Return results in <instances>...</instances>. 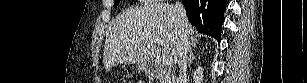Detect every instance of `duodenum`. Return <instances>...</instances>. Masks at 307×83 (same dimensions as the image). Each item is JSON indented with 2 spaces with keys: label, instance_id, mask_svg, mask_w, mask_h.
I'll list each match as a JSON object with an SVG mask.
<instances>
[{
  "label": "duodenum",
  "instance_id": "410a0bca",
  "mask_svg": "<svg viewBox=\"0 0 307 83\" xmlns=\"http://www.w3.org/2000/svg\"><path fill=\"white\" fill-rule=\"evenodd\" d=\"M151 69H152L151 75L161 74V71L158 70L156 67H151Z\"/></svg>",
  "mask_w": 307,
  "mask_h": 83
}]
</instances>
